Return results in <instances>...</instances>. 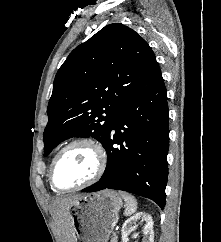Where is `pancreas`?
<instances>
[{"label": "pancreas", "mask_w": 221, "mask_h": 242, "mask_svg": "<svg viewBox=\"0 0 221 242\" xmlns=\"http://www.w3.org/2000/svg\"><path fill=\"white\" fill-rule=\"evenodd\" d=\"M110 242H117V237L114 235Z\"/></svg>", "instance_id": "cf45deb5"}]
</instances>
